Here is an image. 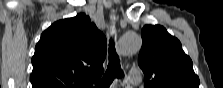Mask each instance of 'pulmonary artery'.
<instances>
[{
	"label": "pulmonary artery",
	"instance_id": "obj_1",
	"mask_svg": "<svg viewBox=\"0 0 223 88\" xmlns=\"http://www.w3.org/2000/svg\"><path fill=\"white\" fill-rule=\"evenodd\" d=\"M142 80V76H141V72L137 69H132L129 72V76H128V83L131 85H138L141 83Z\"/></svg>",
	"mask_w": 223,
	"mask_h": 88
}]
</instances>
